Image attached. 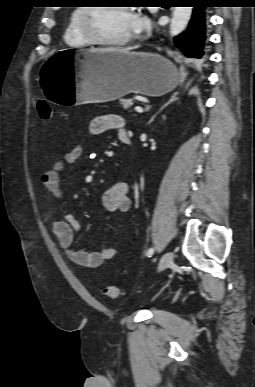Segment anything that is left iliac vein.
<instances>
[{"instance_id": "1", "label": "left iliac vein", "mask_w": 255, "mask_h": 387, "mask_svg": "<svg viewBox=\"0 0 255 387\" xmlns=\"http://www.w3.org/2000/svg\"><path fill=\"white\" fill-rule=\"evenodd\" d=\"M173 262V252H166L160 262H159V265H158V271H163L165 270L166 268H168Z\"/></svg>"}]
</instances>
